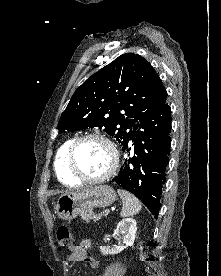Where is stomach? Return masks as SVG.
I'll return each instance as SVG.
<instances>
[{
    "instance_id": "obj_1",
    "label": "stomach",
    "mask_w": 221,
    "mask_h": 276,
    "mask_svg": "<svg viewBox=\"0 0 221 276\" xmlns=\"http://www.w3.org/2000/svg\"><path fill=\"white\" fill-rule=\"evenodd\" d=\"M115 201L114 189L108 185H99L61 195L56 203V213L61 219L71 220L93 207H108Z\"/></svg>"
}]
</instances>
